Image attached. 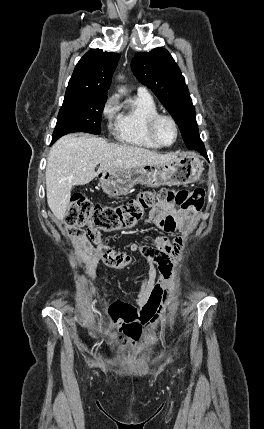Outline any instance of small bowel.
Segmentation results:
<instances>
[{"label": "small bowel", "instance_id": "small-bowel-1", "mask_svg": "<svg viewBox=\"0 0 264 429\" xmlns=\"http://www.w3.org/2000/svg\"><path fill=\"white\" fill-rule=\"evenodd\" d=\"M148 222L166 232L180 231L184 233L192 225V219L173 203L160 204L153 208L149 214ZM66 232L70 244L77 251L79 259L85 264L89 277L95 275L100 264L110 268H125L132 262L128 254L117 252L113 247L102 242L100 235L91 237L84 231L73 233L68 228ZM183 245V236H178L173 240L166 237H156L151 246H145L141 243L131 244L130 250L143 255L150 264L137 296L138 307L122 302L115 303L116 305H129L134 311V321L122 330L131 340H139L144 328L147 329V333L152 332L153 327L160 321L169 302L174 282V263ZM154 264L158 265L161 276L158 283H155L156 269Z\"/></svg>", "mask_w": 264, "mask_h": 429}]
</instances>
